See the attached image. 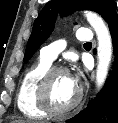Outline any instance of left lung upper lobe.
<instances>
[{
    "instance_id": "5c2ea615",
    "label": "left lung upper lobe",
    "mask_w": 118,
    "mask_h": 123,
    "mask_svg": "<svg viewBox=\"0 0 118 123\" xmlns=\"http://www.w3.org/2000/svg\"><path fill=\"white\" fill-rule=\"evenodd\" d=\"M93 10L106 22L116 15L114 0H51L36 18L27 43L24 61H28L54 29L58 14L66 15L75 10Z\"/></svg>"
}]
</instances>
